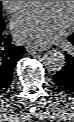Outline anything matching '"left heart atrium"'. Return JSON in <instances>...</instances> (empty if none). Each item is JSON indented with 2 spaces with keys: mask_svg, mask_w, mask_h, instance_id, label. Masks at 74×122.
<instances>
[{
  "mask_svg": "<svg viewBox=\"0 0 74 122\" xmlns=\"http://www.w3.org/2000/svg\"><path fill=\"white\" fill-rule=\"evenodd\" d=\"M69 25L70 20L53 5L19 14L11 28L19 42L42 45L51 43L66 33Z\"/></svg>",
  "mask_w": 74,
  "mask_h": 122,
  "instance_id": "39dd6f15",
  "label": "left heart atrium"
}]
</instances>
